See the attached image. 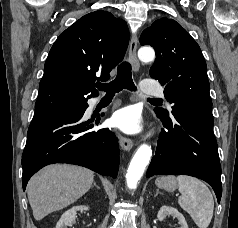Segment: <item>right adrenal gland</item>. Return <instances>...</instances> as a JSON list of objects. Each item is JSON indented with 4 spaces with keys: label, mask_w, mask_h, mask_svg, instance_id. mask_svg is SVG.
Instances as JSON below:
<instances>
[{
    "label": "right adrenal gland",
    "mask_w": 238,
    "mask_h": 228,
    "mask_svg": "<svg viewBox=\"0 0 238 228\" xmlns=\"http://www.w3.org/2000/svg\"><path fill=\"white\" fill-rule=\"evenodd\" d=\"M93 186H95L96 188L100 189V187L96 184V182H94Z\"/></svg>",
    "instance_id": "2a0ac1e0"
}]
</instances>
